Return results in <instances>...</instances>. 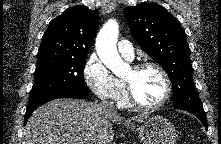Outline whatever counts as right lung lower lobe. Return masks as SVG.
<instances>
[{"mask_svg": "<svg viewBox=\"0 0 221 144\" xmlns=\"http://www.w3.org/2000/svg\"><path fill=\"white\" fill-rule=\"evenodd\" d=\"M88 93L89 92H82V91H76V90H63V91L54 92L48 95L47 97L41 99L38 103L34 104L33 106L27 107L24 122L26 124L28 118L31 116L33 111L44 103H47L51 100L58 99V98H83L87 96Z\"/></svg>", "mask_w": 221, "mask_h": 144, "instance_id": "obj_1", "label": "right lung lower lobe"}]
</instances>
